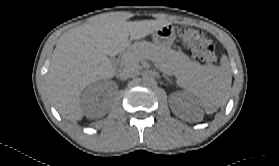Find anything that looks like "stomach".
I'll return each instance as SVG.
<instances>
[{"label": "stomach", "mask_w": 279, "mask_h": 166, "mask_svg": "<svg viewBox=\"0 0 279 166\" xmlns=\"http://www.w3.org/2000/svg\"><path fill=\"white\" fill-rule=\"evenodd\" d=\"M152 37L157 46L168 48L176 39V33L174 27L171 24H168L152 33Z\"/></svg>", "instance_id": "stomach-1"}]
</instances>
